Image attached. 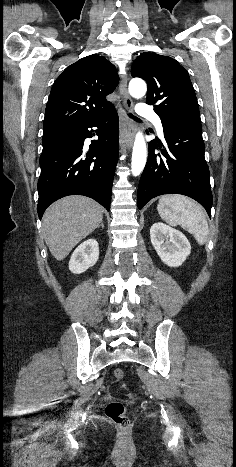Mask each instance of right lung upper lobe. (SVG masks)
<instances>
[{
    "label": "right lung upper lobe",
    "mask_w": 236,
    "mask_h": 467,
    "mask_svg": "<svg viewBox=\"0 0 236 467\" xmlns=\"http://www.w3.org/2000/svg\"><path fill=\"white\" fill-rule=\"evenodd\" d=\"M118 82L115 66L102 56L90 55L67 67L52 86L44 134L84 125L113 108L106 96Z\"/></svg>",
    "instance_id": "obj_1"
}]
</instances>
